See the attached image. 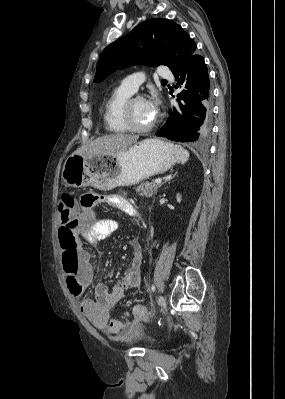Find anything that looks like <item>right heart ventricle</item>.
I'll return each mask as SVG.
<instances>
[{
	"mask_svg": "<svg viewBox=\"0 0 285 399\" xmlns=\"http://www.w3.org/2000/svg\"><path fill=\"white\" fill-rule=\"evenodd\" d=\"M132 95L130 91L121 85L116 87L105 101L104 105V123L108 131L115 134H124L130 132L126 127L122 108L125 101Z\"/></svg>",
	"mask_w": 285,
	"mask_h": 399,
	"instance_id": "obj_1",
	"label": "right heart ventricle"
}]
</instances>
